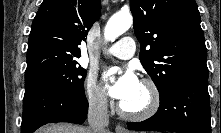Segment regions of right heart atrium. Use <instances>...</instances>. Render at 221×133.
Returning <instances> with one entry per match:
<instances>
[{
  "mask_svg": "<svg viewBox=\"0 0 221 133\" xmlns=\"http://www.w3.org/2000/svg\"><path fill=\"white\" fill-rule=\"evenodd\" d=\"M85 95L89 107L97 112H106L109 107V101L106 93L97 82L94 73H89L85 83Z\"/></svg>",
  "mask_w": 221,
  "mask_h": 133,
  "instance_id": "obj_1",
  "label": "right heart atrium"
}]
</instances>
